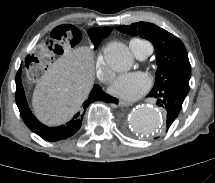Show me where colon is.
I'll list each match as a JSON object with an SVG mask.
<instances>
[{
    "mask_svg": "<svg viewBox=\"0 0 215 183\" xmlns=\"http://www.w3.org/2000/svg\"><path fill=\"white\" fill-rule=\"evenodd\" d=\"M82 33L75 26H60L34 45L24 62V73L31 80H42L56 61L82 44Z\"/></svg>",
    "mask_w": 215,
    "mask_h": 183,
    "instance_id": "1",
    "label": "colon"
}]
</instances>
